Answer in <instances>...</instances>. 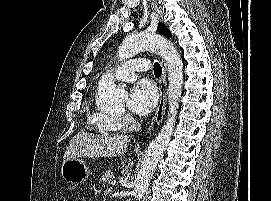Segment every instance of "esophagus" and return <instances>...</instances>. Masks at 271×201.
<instances>
[{"mask_svg":"<svg viewBox=\"0 0 271 201\" xmlns=\"http://www.w3.org/2000/svg\"><path fill=\"white\" fill-rule=\"evenodd\" d=\"M160 63L162 66V74L159 80V100L155 113L154 120L159 125L164 117L166 110L167 94H166V85H167V67L165 60L160 57Z\"/></svg>","mask_w":271,"mask_h":201,"instance_id":"34e87169","label":"esophagus"}]
</instances>
